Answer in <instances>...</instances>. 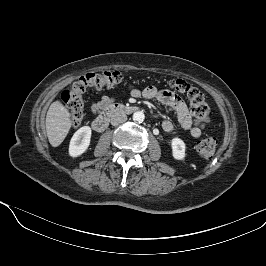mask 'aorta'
Instances as JSON below:
<instances>
[{
    "label": "aorta",
    "instance_id": "762f6f07",
    "mask_svg": "<svg viewBox=\"0 0 266 266\" xmlns=\"http://www.w3.org/2000/svg\"><path fill=\"white\" fill-rule=\"evenodd\" d=\"M144 118H145V115L142 111H137L133 114V120L136 122L141 123L143 122Z\"/></svg>",
    "mask_w": 266,
    "mask_h": 266
}]
</instances>
